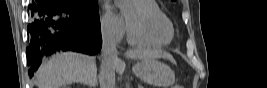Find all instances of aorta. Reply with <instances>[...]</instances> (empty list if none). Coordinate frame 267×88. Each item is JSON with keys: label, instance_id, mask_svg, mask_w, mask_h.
Masks as SVG:
<instances>
[{"label": "aorta", "instance_id": "aorta-1", "mask_svg": "<svg viewBox=\"0 0 267 88\" xmlns=\"http://www.w3.org/2000/svg\"><path fill=\"white\" fill-rule=\"evenodd\" d=\"M116 2L119 6H123L127 2V0H116Z\"/></svg>", "mask_w": 267, "mask_h": 88}]
</instances>
